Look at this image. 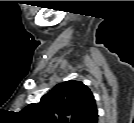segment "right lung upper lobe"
<instances>
[{"label": "right lung upper lobe", "mask_w": 134, "mask_h": 123, "mask_svg": "<svg viewBox=\"0 0 134 123\" xmlns=\"http://www.w3.org/2000/svg\"><path fill=\"white\" fill-rule=\"evenodd\" d=\"M21 112L36 123H97L98 118L92 92L74 80L56 85L40 102L28 105Z\"/></svg>", "instance_id": "1"}]
</instances>
